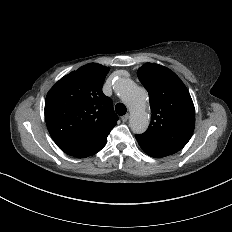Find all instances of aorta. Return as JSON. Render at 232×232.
<instances>
[{
  "label": "aorta",
  "instance_id": "aorta-1",
  "mask_svg": "<svg viewBox=\"0 0 232 232\" xmlns=\"http://www.w3.org/2000/svg\"><path fill=\"white\" fill-rule=\"evenodd\" d=\"M113 89L130 109L131 130L136 134L145 132L150 122L147 112L148 94L145 89L128 78H118L113 84Z\"/></svg>",
  "mask_w": 232,
  "mask_h": 232
}]
</instances>
